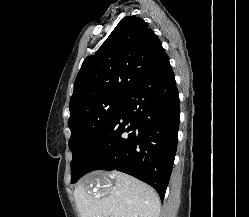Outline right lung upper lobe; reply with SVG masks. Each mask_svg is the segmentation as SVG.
<instances>
[{"label": "right lung upper lobe", "instance_id": "right-lung-upper-lobe-1", "mask_svg": "<svg viewBox=\"0 0 249 217\" xmlns=\"http://www.w3.org/2000/svg\"><path fill=\"white\" fill-rule=\"evenodd\" d=\"M166 54L143 19L124 17L95 55L88 56L74 82L70 112L103 96H126Z\"/></svg>", "mask_w": 249, "mask_h": 217}]
</instances>
